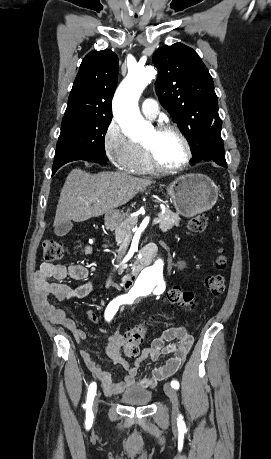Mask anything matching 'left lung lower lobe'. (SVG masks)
<instances>
[{"mask_svg": "<svg viewBox=\"0 0 271 459\" xmlns=\"http://www.w3.org/2000/svg\"><path fill=\"white\" fill-rule=\"evenodd\" d=\"M211 142H212V146L210 150L207 152L205 156H203V158L200 161H214L218 165L227 168L221 133L215 134L212 137ZM196 163H191V164L193 165Z\"/></svg>", "mask_w": 271, "mask_h": 459, "instance_id": "obj_1", "label": "left lung lower lobe"}]
</instances>
